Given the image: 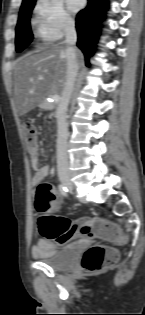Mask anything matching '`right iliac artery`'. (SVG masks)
<instances>
[{
	"mask_svg": "<svg viewBox=\"0 0 145 315\" xmlns=\"http://www.w3.org/2000/svg\"><path fill=\"white\" fill-rule=\"evenodd\" d=\"M58 189H59V191L61 192V194L63 195V196H68V189L65 187V186H63V185H59L58 186Z\"/></svg>",
	"mask_w": 145,
	"mask_h": 315,
	"instance_id": "1",
	"label": "right iliac artery"
}]
</instances>
